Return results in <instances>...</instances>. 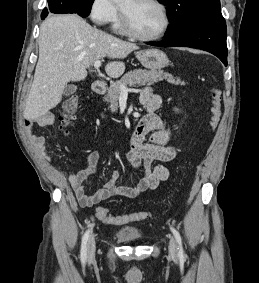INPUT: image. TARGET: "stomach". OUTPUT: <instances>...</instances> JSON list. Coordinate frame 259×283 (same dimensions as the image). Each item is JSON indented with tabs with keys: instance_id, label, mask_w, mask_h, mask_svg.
Returning a JSON list of instances; mask_svg holds the SVG:
<instances>
[{
	"instance_id": "1",
	"label": "stomach",
	"mask_w": 259,
	"mask_h": 283,
	"mask_svg": "<svg viewBox=\"0 0 259 283\" xmlns=\"http://www.w3.org/2000/svg\"><path fill=\"white\" fill-rule=\"evenodd\" d=\"M136 56L144 67L151 70L162 69L168 64L167 55L156 48L141 50Z\"/></svg>"
}]
</instances>
